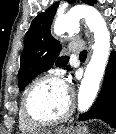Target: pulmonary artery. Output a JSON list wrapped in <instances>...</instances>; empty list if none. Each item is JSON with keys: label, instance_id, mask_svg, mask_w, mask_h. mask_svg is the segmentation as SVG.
<instances>
[{"label": "pulmonary artery", "instance_id": "obj_1", "mask_svg": "<svg viewBox=\"0 0 116 134\" xmlns=\"http://www.w3.org/2000/svg\"><path fill=\"white\" fill-rule=\"evenodd\" d=\"M84 41L82 40H72L69 44V51L71 53H80L84 50Z\"/></svg>", "mask_w": 116, "mask_h": 134}]
</instances>
